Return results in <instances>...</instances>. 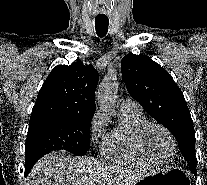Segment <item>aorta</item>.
<instances>
[{"label": "aorta", "instance_id": "1", "mask_svg": "<svg viewBox=\"0 0 207 185\" xmlns=\"http://www.w3.org/2000/svg\"><path fill=\"white\" fill-rule=\"evenodd\" d=\"M118 90L117 73L114 69H109L103 78L97 91V101L100 110L111 111L116 102Z\"/></svg>", "mask_w": 207, "mask_h": 185}]
</instances>
